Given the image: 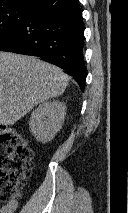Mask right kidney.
I'll return each instance as SVG.
<instances>
[{"mask_svg":"<svg viewBox=\"0 0 128 213\" xmlns=\"http://www.w3.org/2000/svg\"><path fill=\"white\" fill-rule=\"evenodd\" d=\"M66 114V105L60 101H46L31 114L29 126L35 138L46 143L61 129Z\"/></svg>","mask_w":128,"mask_h":213,"instance_id":"obj_1","label":"right kidney"}]
</instances>
